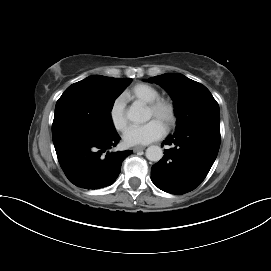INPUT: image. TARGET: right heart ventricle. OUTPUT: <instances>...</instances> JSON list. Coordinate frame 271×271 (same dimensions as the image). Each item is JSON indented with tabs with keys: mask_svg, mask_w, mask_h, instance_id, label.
I'll use <instances>...</instances> for the list:
<instances>
[{
	"mask_svg": "<svg viewBox=\"0 0 271 271\" xmlns=\"http://www.w3.org/2000/svg\"><path fill=\"white\" fill-rule=\"evenodd\" d=\"M125 97L148 104L159 98L160 93L154 86L146 83H140L128 90L125 93Z\"/></svg>",
	"mask_w": 271,
	"mask_h": 271,
	"instance_id": "1",
	"label": "right heart ventricle"
}]
</instances>
